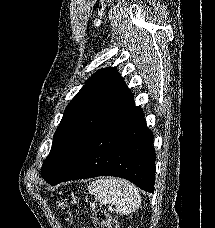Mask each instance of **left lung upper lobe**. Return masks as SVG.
<instances>
[{
    "mask_svg": "<svg viewBox=\"0 0 215 228\" xmlns=\"http://www.w3.org/2000/svg\"><path fill=\"white\" fill-rule=\"evenodd\" d=\"M132 96L116 68L101 69L92 75L66 107L54 134L50 154L41 170L45 181L54 179L95 131Z\"/></svg>",
    "mask_w": 215,
    "mask_h": 228,
    "instance_id": "5c2ea615",
    "label": "left lung upper lobe"
}]
</instances>
